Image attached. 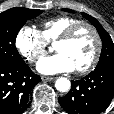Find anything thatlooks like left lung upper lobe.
Masks as SVG:
<instances>
[{
  "label": "left lung upper lobe",
  "mask_w": 114,
  "mask_h": 114,
  "mask_svg": "<svg viewBox=\"0 0 114 114\" xmlns=\"http://www.w3.org/2000/svg\"><path fill=\"white\" fill-rule=\"evenodd\" d=\"M63 10L73 12L70 9ZM82 16L86 18L88 21H90L96 27L102 40V51L97 67L114 65V43L111 37L95 18L86 13H82Z\"/></svg>",
  "instance_id": "5c2ea615"
}]
</instances>
